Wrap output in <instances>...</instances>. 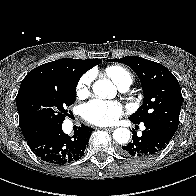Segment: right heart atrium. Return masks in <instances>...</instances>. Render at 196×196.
I'll use <instances>...</instances> for the list:
<instances>
[{"mask_svg":"<svg viewBox=\"0 0 196 196\" xmlns=\"http://www.w3.org/2000/svg\"><path fill=\"white\" fill-rule=\"evenodd\" d=\"M92 79L93 76L91 73H86L80 78L76 87L77 96L85 97L89 94Z\"/></svg>","mask_w":196,"mask_h":196,"instance_id":"1","label":"right heart atrium"}]
</instances>
